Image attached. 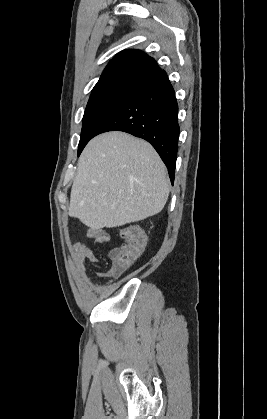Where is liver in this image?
Instances as JSON below:
<instances>
[{
	"mask_svg": "<svg viewBox=\"0 0 267 419\" xmlns=\"http://www.w3.org/2000/svg\"><path fill=\"white\" fill-rule=\"evenodd\" d=\"M169 195L165 165L146 141L112 131L83 150L73 181L69 216L98 230L158 214Z\"/></svg>",
	"mask_w": 267,
	"mask_h": 419,
	"instance_id": "liver-1",
	"label": "liver"
}]
</instances>
